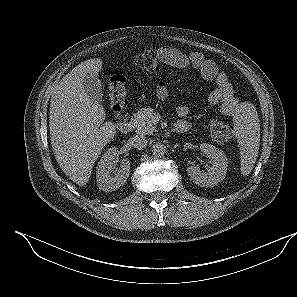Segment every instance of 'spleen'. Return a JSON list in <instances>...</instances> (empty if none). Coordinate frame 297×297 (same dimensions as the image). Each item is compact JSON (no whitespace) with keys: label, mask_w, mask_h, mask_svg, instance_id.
I'll use <instances>...</instances> for the list:
<instances>
[{"label":"spleen","mask_w":297,"mask_h":297,"mask_svg":"<svg viewBox=\"0 0 297 297\" xmlns=\"http://www.w3.org/2000/svg\"><path fill=\"white\" fill-rule=\"evenodd\" d=\"M233 121L241 154L240 170L243 176H247L254 167L260 146V124L257 111L252 105H243Z\"/></svg>","instance_id":"3e777b00"}]
</instances>
